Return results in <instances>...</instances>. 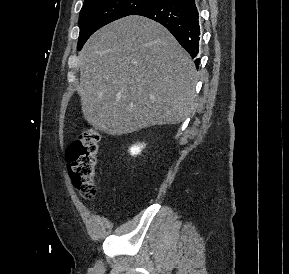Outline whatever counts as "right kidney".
I'll use <instances>...</instances> for the list:
<instances>
[{
	"label": "right kidney",
	"mask_w": 289,
	"mask_h": 274,
	"mask_svg": "<svg viewBox=\"0 0 289 274\" xmlns=\"http://www.w3.org/2000/svg\"><path fill=\"white\" fill-rule=\"evenodd\" d=\"M145 145L143 144H138V145H133L131 148H130V153L131 155H138L142 148L144 147Z\"/></svg>",
	"instance_id": "right-kidney-1"
}]
</instances>
